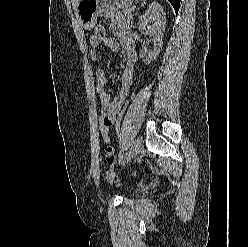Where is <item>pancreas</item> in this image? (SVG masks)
<instances>
[{
	"mask_svg": "<svg viewBox=\"0 0 248 247\" xmlns=\"http://www.w3.org/2000/svg\"><path fill=\"white\" fill-rule=\"evenodd\" d=\"M132 23V15L129 10H126L124 13L117 12L111 16V26L112 28H121L129 29Z\"/></svg>",
	"mask_w": 248,
	"mask_h": 247,
	"instance_id": "cf45deb5",
	"label": "pancreas"
}]
</instances>
